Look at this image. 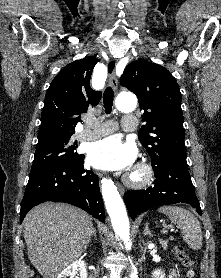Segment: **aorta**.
Listing matches in <instances>:
<instances>
[{
    "instance_id": "1",
    "label": "aorta",
    "mask_w": 221,
    "mask_h": 278,
    "mask_svg": "<svg viewBox=\"0 0 221 278\" xmlns=\"http://www.w3.org/2000/svg\"><path fill=\"white\" fill-rule=\"evenodd\" d=\"M116 105L120 111L128 112L135 108L136 99L133 96L120 95ZM101 183L102 196L111 218L113 230L123 240L125 249L130 251L132 248L130 224L124 202L111 179L103 178ZM130 278H138V272L134 266Z\"/></svg>"
}]
</instances>
